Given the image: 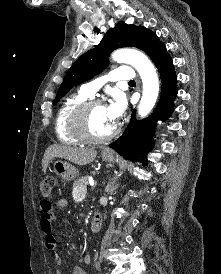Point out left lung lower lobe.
<instances>
[{"instance_id":"obj_1","label":"left lung lower lobe","mask_w":221,"mask_h":274,"mask_svg":"<svg viewBox=\"0 0 221 274\" xmlns=\"http://www.w3.org/2000/svg\"><path fill=\"white\" fill-rule=\"evenodd\" d=\"M149 57L156 65L162 81V91L155 112L142 121H137L135 111L122 136L110 147L122 155L126 160L140 161L147 164V153L154 143L153 134L156 120L167 118L174 109L173 101L177 95V77L173 68V62L166 47L162 44Z\"/></svg>"}]
</instances>
